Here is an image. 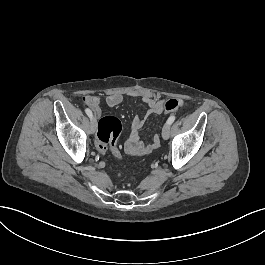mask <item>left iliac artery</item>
<instances>
[{
  "label": "left iliac artery",
  "instance_id": "1",
  "mask_svg": "<svg viewBox=\"0 0 265 265\" xmlns=\"http://www.w3.org/2000/svg\"><path fill=\"white\" fill-rule=\"evenodd\" d=\"M175 116L174 115H171L169 118H168V120H167V123L169 124V125H171L174 121H175Z\"/></svg>",
  "mask_w": 265,
  "mask_h": 265
}]
</instances>
